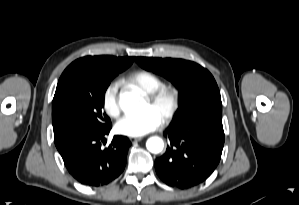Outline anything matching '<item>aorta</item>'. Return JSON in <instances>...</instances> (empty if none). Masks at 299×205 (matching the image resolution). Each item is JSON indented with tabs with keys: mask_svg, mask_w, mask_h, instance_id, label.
I'll return each mask as SVG.
<instances>
[{
	"mask_svg": "<svg viewBox=\"0 0 299 205\" xmlns=\"http://www.w3.org/2000/svg\"><path fill=\"white\" fill-rule=\"evenodd\" d=\"M142 102L138 93L126 91L120 94L119 106L127 114L138 113ZM146 147L151 153L157 154L163 150L164 142L160 137H150L146 142Z\"/></svg>",
	"mask_w": 299,
	"mask_h": 205,
	"instance_id": "aorta-1",
	"label": "aorta"
}]
</instances>
